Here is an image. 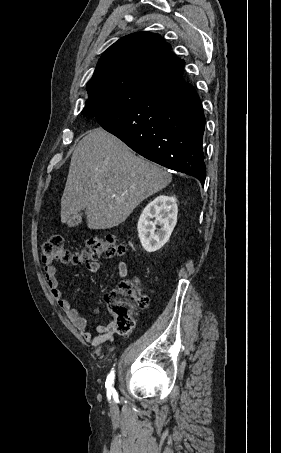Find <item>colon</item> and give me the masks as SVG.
Wrapping results in <instances>:
<instances>
[{"instance_id": "5ec220e1", "label": "colon", "mask_w": 281, "mask_h": 453, "mask_svg": "<svg viewBox=\"0 0 281 453\" xmlns=\"http://www.w3.org/2000/svg\"><path fill=\"white\" fill-rule=\"evenodd\" d=\"M130 248L112 239L87 238L81 248L69 251L61 233H53L44 244L42 261L44 262H97L102 257H126ZM119 288L127 303L114 308L118 329L130 331L133 328L134 313H141L148 303V296L141 295L136 281L122 279Z\"/></svg>"}]
</instances>
